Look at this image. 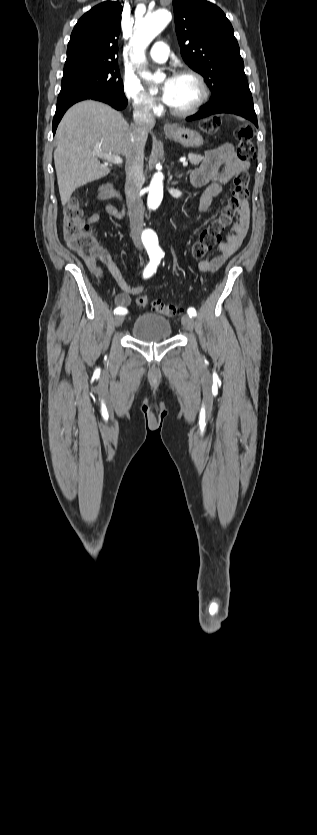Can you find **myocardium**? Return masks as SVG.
Wrapping results in <instances>:
<instances>
[{"mask_svg":"<svg viewBox=\"0 0 317 835\" xmlns=\"http://www.w3.org/2000/svg\"><path fill=\"white\" fill-rule=\"evenodd\" d=\"M176 77H190L192 78L198 87L199 94L195 102L187 109H174L168 106L169 112L176 116V117H188L195 113H197L200 108L205 104L209 96V89L205 82V79L201 74L193 69H181L176 73Z\"/></svg>","mask_w":317,"mask_h":835,"instance_id":"obj_1","label":"myocardium"}]
</instances>
